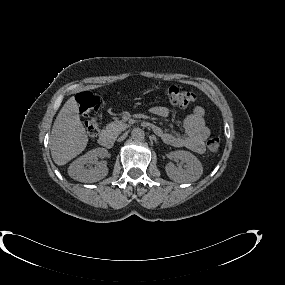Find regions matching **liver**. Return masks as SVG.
<instances>
[{
  "instance_id": "liver-1",
  "label": "liver",
  "mask_w": 285,
  "mask_h": 285,
  "mask_svg": "<svg viewBox=\"0 0 285 285\" xmlns=\"http://www.w3.org/2000/svg\"><path fill=\"white\" fill-rule=\"evenodd\" d=\"M87 144L88 136L78 114V104L71 97L63 105L52 127V158L58 166L65 165L84 151Z\"/></svg>"
}]
</instances>
